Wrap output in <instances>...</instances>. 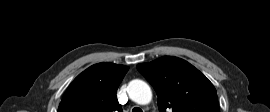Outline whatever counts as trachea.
<instances>
[{"instance_id":"1","label":"trachea","mask_w":270,"mask_h":112,"mask_svg":"<svg viewBox=\"0 0 270 112\" xmlns=\"http://www.w3.org/2000/svg\"><path fill=\"white\" fill-rule=\"evenodd\" d=\"M132 112H143L141 108L139 107H134Z\"/></svg>"}]
</instances>
